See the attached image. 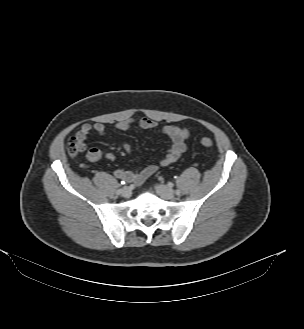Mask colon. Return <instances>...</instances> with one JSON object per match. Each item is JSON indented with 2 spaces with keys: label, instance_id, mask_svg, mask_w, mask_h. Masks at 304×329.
I'll return each instance as SVG.
<instances>
[{
  "label": "colon",
  "instance_id": "obj_1",
  "mask_svg": "<svg viewBox=\"0 0 304 329\" xmlns=\"http://www.w3.org/2000/svg\"><path fill=\"white\" fill-rule=\"evenodd\" d=\"M200 144L205 148H212L214 145L213 140L208 136H201L199 139ZM67 151L70 156L76 157L81 151V146L75 137H72L67 142Z\"/></svg>",
  "mask_w": 304,
  "mask_h": 329
}]
</instances>
